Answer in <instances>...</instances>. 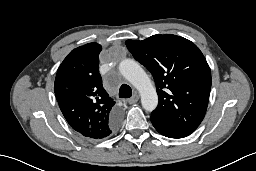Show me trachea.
I'll use <instances>...</instances> for the list:
<instances>
[{
	"label": "trachea",
	"mask_w": 256,
	"mask_h": 171,
	"mask_svg": "<svg viewBox=\"0 0 256 171\" xmlns=\"http://www.w3.org/2000/svg\"><path fill=\"white\" fill-rule=\"evenodd\" d=\"M132 96V89L129 85L123 84L119 89L120 98H130Z\"/></svg>",
	"instance_id": "trachea-1"
}]
</instances>
